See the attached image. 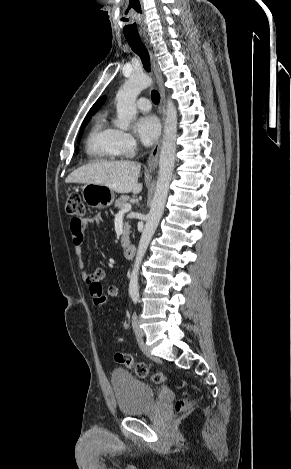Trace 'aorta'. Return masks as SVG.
<instances>
[{
    "label": "aorta",
    "instance_id": "1",
    "mask_svg": "<svg viewBox=\"0 0 291 469\" xmlns=\"http://www.w3.org/2000/svg\"><path fill=\"white\" fill-rule=\"evenodd\" d=\"M151 85L152 79L149 76L139 74L131 76L118 90L116 95L117 120L115 121V126L117 128L128 130L130 123L137 113L136 99L138 95L142 90ZM176 138L177 112L173 102L168 100L156 189L130 275L129 294L138 293V274L140 265L164 212L169 184L174 170Z\"/></svg>",
    "mask_w": 291,
    "mask_h": 469
}]
</instances>
